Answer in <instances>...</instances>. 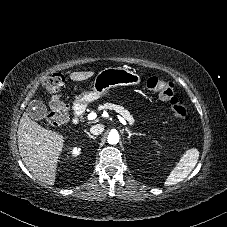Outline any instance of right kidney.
Wrapping results in <instances>:
<instances>
[{"mask_svg":"<svg viewBox=\"0 0 227 227\" xmlns=\"http://www.w3.org/2000/svg\"><path fill=\"white\" fill-rule=\"evenodd\" d=\"M72 154L73 156H78L80 154V148H73L72 150Z\"/></svg>","mask_w":227,"mask_h":227,"instance_id":"right-kidney-1","label":"right kidney"}]
</instances>
